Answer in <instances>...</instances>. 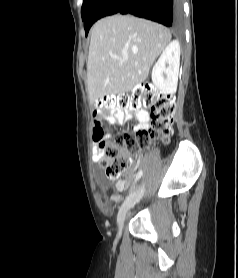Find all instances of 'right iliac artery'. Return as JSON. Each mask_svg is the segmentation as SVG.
<instances>
[{
  "label": "right iliac artery",
  "mask_w": 238,
  "mask_h": 278,
  "mask_svg": "<svg viewBox=\"0 0 238 278\" xmlns=\"http://www.w3.org/2000/svg\"><path fill=\"white\" fill-rule=\"evenodd\" d=\"M142 173H143V171L140 170V171L136 174L135 182L142 176ZM131 189H132V187H131Z\"/></svg>",
  "instance_id": "right-iliac-artery-1"
}]
</instances>
